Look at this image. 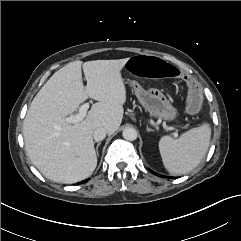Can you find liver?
Returning a JSON list of instances; mask_svg holds the SVG:
<instances>
[{
	"mask_svg": "<svg viewBox=\"0 0 241 241\" xmlns=\"http://www.w3.org/2000/svg\"><path fill=\"white\" fill-rule=\"evenodd\" d=\"M129 58L74 61L44 84L34 97L23 124L25 149L34 166L48 179L72 184L88 178L97 166L93 132L113 134L123 119L126 88L121 70ZM82 68L87 86L82 82ZM92 105L82 121L70 124L87 98Z\"/></svg>",
	"mask_w": 241,
	"mask_h": 241,
	"instance_id": "1",
	"label": "liver"
}]
</instances>
